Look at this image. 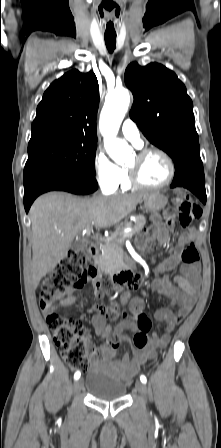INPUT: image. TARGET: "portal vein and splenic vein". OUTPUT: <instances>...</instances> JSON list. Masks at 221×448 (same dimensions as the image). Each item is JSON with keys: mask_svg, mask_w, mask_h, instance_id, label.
Listing matches in <instances>:
<instances>
[{"mask_svg": "<svg viewBox=\"0 0 221 448\" xmlns=\"http://www.w3.org/2000/svg\"><path fill=\"white\" fill-rule=\"evenodd\" d=\"M132 237V232L131 231H126L123 235V238H130Z\"/></svg>", "mask_w": 221, "mask_h": 448, "instance_id": "obj_1", "label": "portal vein and splenic vein"}]
</instances>
